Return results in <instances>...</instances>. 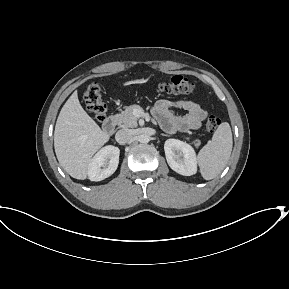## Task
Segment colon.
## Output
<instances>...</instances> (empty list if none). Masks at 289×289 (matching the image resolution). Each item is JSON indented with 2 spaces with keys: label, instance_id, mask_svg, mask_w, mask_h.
I'll return each instance as SVG.
<instances>
[{
  "label": "colon",
  "instance_id": "1",
  "mask_svg": "<svg viewBox=\"0 0 289 289\" xmlns=\"http://www.w3.org/2000/svg\"><path fill=\"white\" fill-rule=\"evenodd\" d=\"M157 90L161 93L172 95H188L194 90V84L183 75H175L166 81L157 85ZM84 100L90 112L98 120H103L106 113V104L102 99L101 87L97 82H91L85 92ZM220 125V119L210 115L205 120V129L208 132H214Z\"/></svg>",
  "mask_w": 289,
  "mask_h": 289
}]
</instances>
